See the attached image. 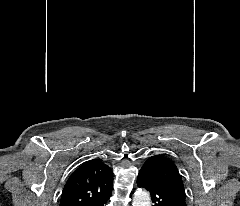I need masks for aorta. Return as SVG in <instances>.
Instances as JSON below:
<instances>
[{
	"label": "aorta",
	"mask_w": 240,
	"mask_h": 206,
	"mask_svg": "<svg viewBox=\"0 0 240 206\" xmlns=\"http://www.w3.org/2000/svg\"><path fill=\"white\" fill-rule=\"evenodd\" d=\"M133 206H151L150 195L146 191L137 190L133 197Z\"/></svg>",
	"instance_id": "aorta-1"
}]
</instances>
